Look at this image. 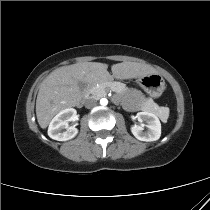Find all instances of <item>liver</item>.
Wrapping results in <instances>:
<instances>
[{
  "label": "liver",
  "instance_id": "6515ba94",
  "mask_svg": "<svg viewBox=\"0 0 210 210\" xmlns=\"http://www.w3.org/2000/svg\"><path fill=\"white\" fill-rule=\"evenodd\" d=\"M99 62H83L58 68L41 83L36 100L37 121L45 129L52 118L64 109L74 107L82 99L78 82L87 86L104 83L112 78L127 80L154 74L155 70L137 62H122L111 66Z\"/></svg>",
  "mask_w": 210,
  "mask_h": 210
}]
</instances>
